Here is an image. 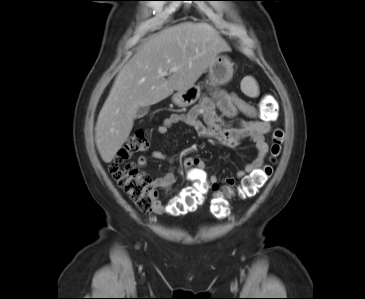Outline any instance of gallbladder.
<instances>
[{
	"label": "gallbladder",
	"mask_w": 365,
	"mask_h": 299,
	"mask_svg": "<svg viewBox=\"0 0 365 299\" xmlns=\"http://www.w3.org/2000/svg\"><path fill=\"white\" fill-rule=\"evenodd\" d=\"M149 112V107L148 106H145V107H139L136 111V114H135V118L136 119H139V118H142L144 117L145 115H147V113Z\"/></svg>",
	"instance_id": "1"
}]
</instances>
